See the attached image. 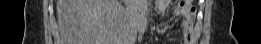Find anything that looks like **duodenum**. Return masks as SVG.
<instances>
[{
  "label": "duodenum",
  "instance_id": "duodenum-1",
  "mask_svg": "<svg viewBox=\"0 0 261 44\" xmlns=\"http://www.w3.org/2000/svg\"><path fill=\"white\" fill-rule=\"evenodd\" d=\"M135 24L138 30L143 33L147 28V16L145 10H138L135 15Z\"/></svg>",
  "mask_w": 261,
  "mask_h": 44
}]
</instances>
